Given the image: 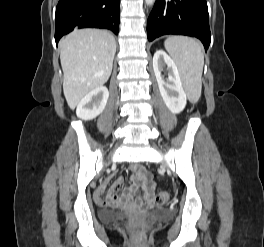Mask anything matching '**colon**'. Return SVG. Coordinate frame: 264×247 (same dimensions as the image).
I'll return each instance as SVG.
<instances>
[{"label": "colon", "mask_w": 264, "mask_h": 247, "mask_svg": "<svg viewBox=\"0 0 264 247\" xmlns=\"http://www.w3.org/2000/svg\"><path fill=\"white\" fill-rule=\"evenodd\" d=\"M170 199V194L167 191H160L156 195V203L163 205Z\"/></svg>", "instance_id": "colon-1"}]
</instances>
